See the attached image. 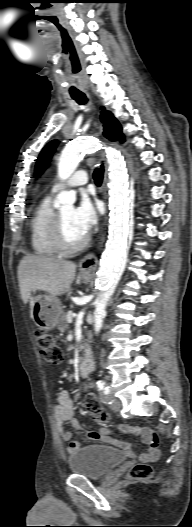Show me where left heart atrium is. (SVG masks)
<instances>
[{"mask_svg": "<svg viewBox=\"0 0 192 527\" xmlns=\"http://www.w3.org/2000/svg\"><path fill=\"white\" fill-rule=\"evenodd\" d=\"M74 222L77 227L87 235L97 222V212L88 199H83L73 212Z\"/></svg>", "mask_w": 192, "mask_h": 527, "instance_id": "left-heart-atrium-1", "label": "left heart atrium"}]
</instances>
